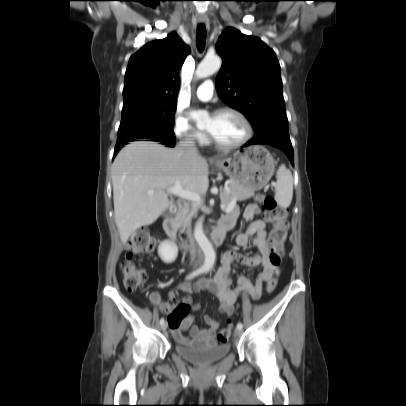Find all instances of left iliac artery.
Instances as JSON below:
<instances>
[{
    "instance_id": "1",
    "label": "left iliac artery",
    "mask_w": 406,
    "mask_h": 406,
    "mask_svg": "<svg viewBox=\"0 0 406 406\" xmlns=\"http://www.w3.org/2000/svg\"><path fill=\"white\" fill-rule=\"evenodd\" d=\"M237 328H238V329H242V328H243L242 323H238V324H237Z\"/></svg>"
}]
</instances>
